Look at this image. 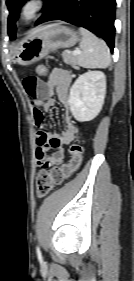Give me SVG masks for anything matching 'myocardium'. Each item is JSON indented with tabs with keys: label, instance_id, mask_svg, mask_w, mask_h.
I'll list each match as a JSON object with an SVG mask.
<instances>
[{
	"label": "myocardium",
	"instance_id": "obj_1",
	"mask_svg": "<svg viewBox=\"0 0 134 281\" xmlns=\"http://www.w3.org/2000/svg\"><path fill=\"white\" fill-rule=\"evenodd\" d=\"M46 7V0H24L19 8V19L29 23L37 19Z\"/></svg>",
	"mask_w": 134,
	"mask_h": 281
}]
</instances>
